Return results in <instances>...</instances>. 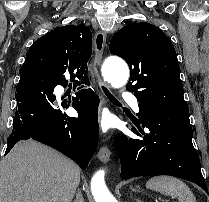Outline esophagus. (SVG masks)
<instances>
[{
  "label": "esophagus",
  "instance_id": "esophagus-1",
  "mask_svg": "<svg viewBox=\"0 0 209 202\" xmlns=\"http://www.w3.org/2000/svg\"><path fill=\"white\" fill-rule=\"evenodd\" d=\"M94 46H95V63H96L98 71H100L101 59H102L103 51L106 46V33L105 32L98 31L95 34ZM97 156L101 162L107 163L110 160L111 151L109 150L107 146H102Z\"/></svg>",
  "mask_w": 209,
  "mask_h": 202
}]
</instances>
